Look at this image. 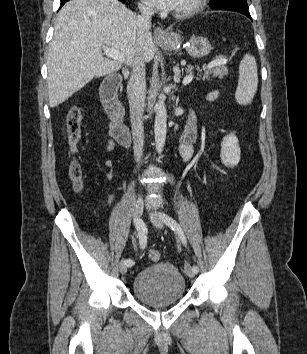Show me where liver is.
Listing matches in <instances>:
<instances>
[{"instance_id": "1", "label": "liver", "mask_w": 307, "mask_h": 354, "mask_svg": "<svg viewBox=\"0 0 307 354\" xmlns=\"http://www.w3.org/2000/svg\"><path fill=\"white\" fill-rule=\"evenodd\" d=\"M54 29L47 56L51 107L93 78L133 65L137 56L150 62L155 54L151 33L142 38L136 14L118 0H70L59 11ZM103 47L119 50L123 60L104 58Z\"/></svg>"}]
</instances>
